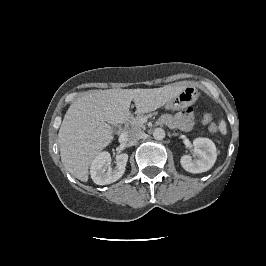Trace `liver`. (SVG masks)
Wrapping results in <instances>:
<instances>
[{
	"instance_id": "liver-1",
	"label": "liver",
	"mask_w": 266,
	"mask_h": 266,
	"mask_svg": "<svg viewBox=\"0 0 266 266\" xmlns=\"http://www.w3.org/2000/svg\"><path fill=\"white\" fill-rule=\"evenodd\" d=\"M184 85L153 89L90 90L68 108L58 133L61 161L82 182L89 178L95 157L113 140L110 126L129 118L134 101L137 113L154 111L172 99Z\"/></svg>"
}]
</instances>
